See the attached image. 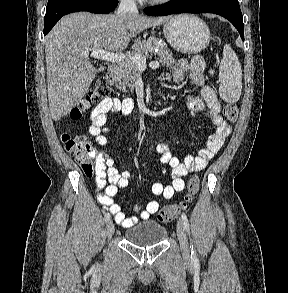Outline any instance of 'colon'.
Returning a JSON list of instances; mask_svg holds the SVG:
<instances>
[{
    "mask_svg": "<svg viewBox=\"0 0 288 293\" xmlns=\"http://www.w3.org/2000/svg\"><path fill=\"white\" fill-rule=\"evenodd\" d=\"M113 95L112 89L108 86L104 79L96 82L90 94L69 113L72 120H78L82 117L93 103L100 100L111 98ZM224 116L229 121H235L238 117V108L235 105L228 104L224 107ZM62 142L67 152L75 158L77 163L86 176L91 177L95 172L94 161L97 157L96 149L90 144L84 135L64 134ZM200 181L197 176H192L187 184V192L183 200L177 204L167 205L161 208L157 213V218L160 222L168 223L176 218L181 211L188 208L189 204L194 199L199 191Z\"/></svg>",
    "mask_w": 288,
    "mask_h": 293,
    "instance_id": "colon-1",
    "label": "colon"
}]
</instances>
